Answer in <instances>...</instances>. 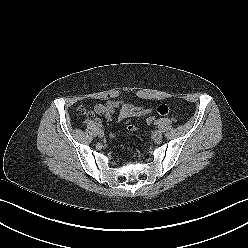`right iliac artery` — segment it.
Instances as JSON below:
<instances>
[{
  "mask_svg": "<svg viewBox=\"0 0 248 248\" xmlns=\"http://www.w3.org/2000/svg\"><path fill=\"white\" fill-rule=\"evenodd\" d=\"M98 127H99V128H101V127H102V125H101V124H98Z\"/></svg>",
  "mask_w": 248,
  "mask_h": 248,
  "instance_id": "right-iliac-artery-1",
  "label": "right iliac artery"
}]
</instances>
